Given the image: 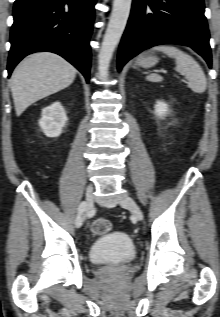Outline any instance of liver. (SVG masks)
I'll list each match as a JSON object with an SVG mask.
<instances>
[{
	"instance_id": "liver-1",
	"label": "liver",
	"mask_w": 220,
	"mask_h": 317,
	"mask_svg": "<svg viewBox=\"0 0 220 317\" xmlns=\"http://www.w3.org/2000/svg\"><path fill=\"white\" fill-rule=\"evenodd\" d=\"M77 70L61 56L39 52L23 59L11 76V91L19 117L31 104L68 87Z\"/></svg>"
}]
</instances>
